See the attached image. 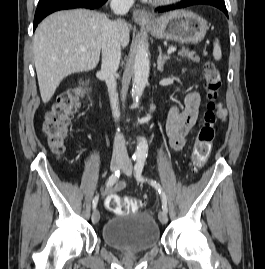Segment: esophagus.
<instances>
[{"mask_svg": "<svg viewBox=\"0 0 265 269\" xmlns=\"http://www.w3.org/2000/svg\"><path fill=\"white\" fill-rule=\"evenodd\" d=\"M133 19L137 23H149L151 21V16L142 9H134L133 10Z\"/></svg>", "mask_w": 265, "mask_h": 269, "instance_id": "1", "label": "esophagus"}]
</instances>
